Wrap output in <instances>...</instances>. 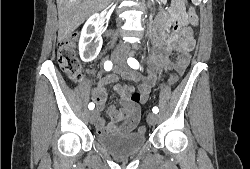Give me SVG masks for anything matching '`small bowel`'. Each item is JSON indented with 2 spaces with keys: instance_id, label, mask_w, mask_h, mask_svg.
I'll return each mask as SVG.
<instances>
[{
  "instance_id": "small-bowel-1",
  "label": "small bowel",
  "mask_w": 250,
  "mask_h": 169,
  "mask_svg": "<svg viewBox=\"0 0 250 169\" xmlns=\"http://www.w3.org/2000/svg\"><path fill=\"white\" fill-rule=\"evenodd\" d=\"M189 24L195 26L197 17L195 14L187 17ZM183 18L178 13L174 14L170 32H178L183 26ZM163 27L156 29L153 38V51L148 60V69L146 76H140L138 73L126 70L120 74L113 72L101 77L93 91L92 99L96 104L97 110L102 111L107 102V85L114 83L115 92L118 94L120 109H110L111 122L106 123L103 117H100L96 123V129L99 135L107 133H129L133 131L140 122L141 111L139 103L148 101L150 92L155 86L157 79L168 72H181L186 69L191 52L194 48V39L191 29H187L180 36H176L172 43L164 42ZM177 53L176 61L171 60V56ZM95 75L94 71L90 72ZM138 84L137 91L142 93V98L138 102L131 99V86L120 83V77ZM174 83V82H171Z\"/></svg>"
}]
</instances>
